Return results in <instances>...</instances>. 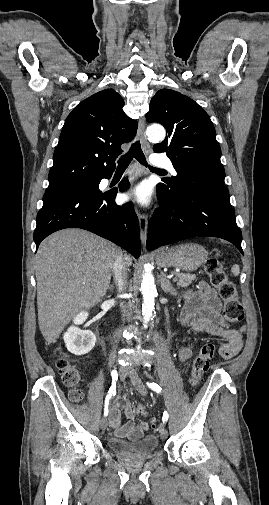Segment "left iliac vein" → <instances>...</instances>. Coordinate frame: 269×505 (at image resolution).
Here are the masks:
<instances>
[{
	"mask_svg": "<svg viewBox=\"0 0 269 505\" xmlns=\"http://www.w3.org/2000/svg\"><path fill=\"white\" fill-rule=\"evenodd\" d=\"M126 371L132 381L133 386L135 389L142 395H145L147 393L145 385L142 383L137 370L134 367H127ZM160 433V438L162 440L166 439L168 437V432L164 426H161L159 429Z\"/></svg>",
	"mask_w": 269,
	"mask_h": 505,
	"instance_id": "left-iliac-vein-1",
	"label": "left iliac vein"
}]
</instances>
